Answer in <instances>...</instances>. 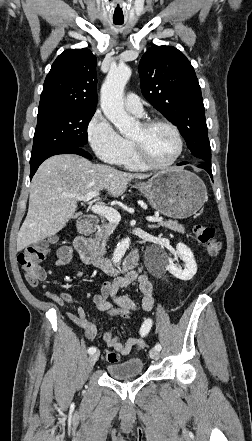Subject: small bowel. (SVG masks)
I'll return each instance as SVG.
<instances>
[{"mask_svg":"<svg viewBox=\"0 0 252 441\" xmlns=\"http://www.w3.org/2000/svg\"><path fill=\"white\" fill-rule=\"evenodd\" d=\"M73 254L70 248L62 247L58 251L56 264L63 266L70 263ZM137 282L140 291L143 293L142 307L146 311H150L154 306L153 286L146 275H138L135 272H129L123 277H118L112 282H105L101 286L100 293L95 294L92 298L93 304L97 310L105 311L114 305L135 304L127 295L120 294L122 288ZM47 297L59 305L70 304L75 301L74 297L67 292L47 293ZM67 317L76 326L83 329L88 339H93L97 333L96 327L88 321L83 308H77L75 313H68ZM107 347L114 349L120 355H128L132 351H138L144 347V341L140 337H130L121 342L111 332H105L102 336Z\"/></svg>","mask_w":252,"mask_h":441,"instance_id":"c3829d8e","label":"small bowel"}]
</instances>
